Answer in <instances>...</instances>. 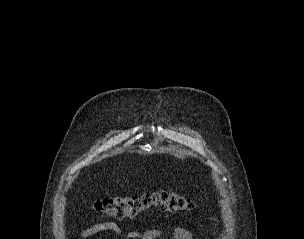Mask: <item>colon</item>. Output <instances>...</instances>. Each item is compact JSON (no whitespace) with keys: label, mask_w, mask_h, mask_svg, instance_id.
<instances>
[{"label":"colon","mask_w":304,"mask_h":239,"mask_svg":"<svg viewBox=\"0 0 304 239\" xmlns=\"http://www.w3.org/2000/svg\"><path fill=\"white\" fill-rule=\"evenodd\" d=\"M95 209L109 217L132 218L150 209L168 212L190 211L194 201L184 195L159 191L139 196H114L98 200Z\"/></svg>","instance_id":"obj_1"}]
</instances>
